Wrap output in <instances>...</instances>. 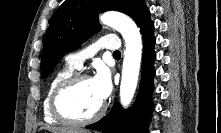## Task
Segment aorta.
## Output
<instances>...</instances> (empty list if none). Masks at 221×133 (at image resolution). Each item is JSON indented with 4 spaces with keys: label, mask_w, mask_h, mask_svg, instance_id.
Returning a JSON list of instances; mask_svg holds the SVG:
<instances>
[{
    "label": "aorta",
    "mask_w": 221,
    "mask_h": 133,
    "mask_svg": "<svg viewBox=\"0 0 221 133\" xmlns=\"http://www.w3.org/2000/svg\"><path fill=\"white\" fill-rule=\"evenodd\" d=\"M102 24L121 33L125 41V51L120 85V102L127 108L136 91L142 57V38L135 22L118 12H106L100 16Z\"/></svg>",
    "instance_id": "aorta-1"
}]
</instances>
